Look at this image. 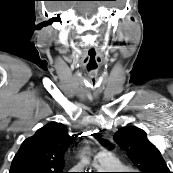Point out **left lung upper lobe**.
<instances>
[{"instance_id":"left-lung-upper-lobe-1","label":"left lung upper lobe","mask_w":173,"mask_h":173,"mask_svg":"<svg viewBox=\"0 0 173 173\" xmlns=\"http://www.w3.org/2000/svg\"><path fill=\"white\" fill-rule=\"evenodd\" d=\"M140 173H171L159 150L147 139L145 131L137 127H124L114 135Z\"/></svg>"}]
</instances>
